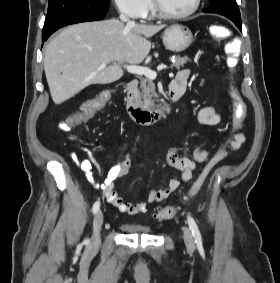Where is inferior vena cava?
<instances>
[{
	"label": "inferior vena cava",
	"instance_id": "inferior-vena-cava-1",
	"mask_svg": "<svg viewBox=\"0 0 280 283\" xmlns=\"http://www.w3.org/2000/svg\"><path fill=\"white\" fill-rule=\"evenodd\" d=\"M120 19H121V21L126 22L127 25H133L134 24V22L130 21L129 18L125 15L124 12H121Z\"/></svg>",
	"mask_w": 280,
	"mask_h": 283
}]
</instances>
